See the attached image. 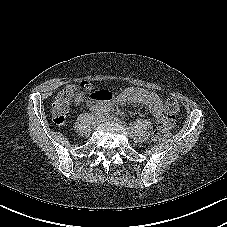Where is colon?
<instances>
[{
	"instance_id": "colon-1",
	"label": "colon",
	"mask_w": 227,
	"mask_h": 227,
	"mask_svg": "<svg viewBox=\"0 0 227 227\" xmlns=\"http://www.w3.org/2000/svg\"><path fill=\"white\" fill-rule=\"evenodd\" d=\"M91 86L88 82H81L79 85H68L63 88L56 96L51 106V117L55 124L62 125L66 120V115L73 97L80 90H88ZM165 110L167 118L170 122L176 118L180 112V106L176 99L168 98L165 102ZM169 136L167 126L160 125L154 132V137L158 141H162Z\"/></svg>"
}]
</instances>
